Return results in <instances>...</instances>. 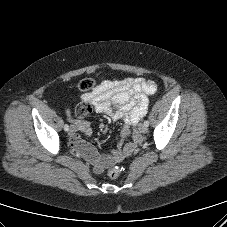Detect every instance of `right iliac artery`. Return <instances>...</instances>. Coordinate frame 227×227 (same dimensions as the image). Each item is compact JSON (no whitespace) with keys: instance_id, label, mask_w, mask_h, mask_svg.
Segmentation results:
<instances>
[{"instance_id":"82829eb1","label":"right iliac artery","mask_w":227,"mask_h":227,"mask_svg":"<svg viewBox=\"0 0 227 227\" xmlns=\"http://www.w3.org/2000/svg\"><path fill=\"white\" fill-rule=\"evenodd\" d=\"M64 130H65V131H68V130H69L68 124H65V125H64Z\"/></svg>"}]
</instances>
